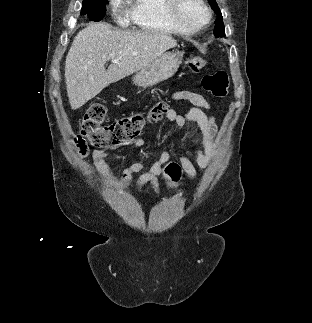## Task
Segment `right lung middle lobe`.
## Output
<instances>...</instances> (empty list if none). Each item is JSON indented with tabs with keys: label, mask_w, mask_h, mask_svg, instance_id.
<instances>
[{
	"label": "right lung middle lobe",
	"mask_w": 312,
	"mask_h": 323,
	"mask_svg": "<svg viewBox=\"0 0 312 323\" xmlns=\"http://www.w3.org/2000/svg\"><path fill=\"white\" fill-rule=\"evenodd\" d=\"M106 14V0H83L81 15H87L92 21H100Z\"/></svg>",
	"instance_id": "1"
}]
</instances>
